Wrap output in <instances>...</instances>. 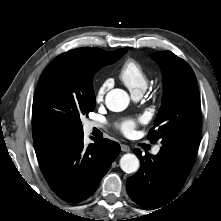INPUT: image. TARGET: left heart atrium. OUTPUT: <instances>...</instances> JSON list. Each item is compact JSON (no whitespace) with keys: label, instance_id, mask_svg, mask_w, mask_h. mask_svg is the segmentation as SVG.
Returning <instances> with one entry per match:
<instances>
[{"label":"left heart atrium","instance_id":"obj_1","mask_svg":"<svg viewBox=\"0 0 221 221\" xmlns=\"http://www.w3.org/2000/svg\"><path fill=\"white\" fill-rule=\"evenodd\" d=\"M143 122H144L143 118H140L138 120H135V119H125L122 122H120L119 129L125 135H131L134 132L137 124L138 123H143Z\"/></svg>","mask_w":221,"mask_h":221}]
</instances>
